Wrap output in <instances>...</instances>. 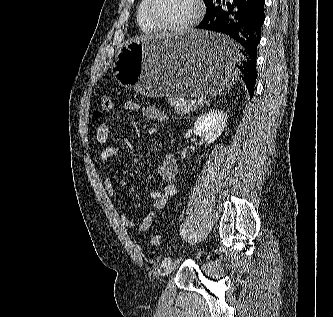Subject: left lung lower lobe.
<instances>
[{"label":"left lung lower lobe","instance_id":"1","mask_svg":"<svg viewBox=\"0 0 333 317\" xmlns=\"http://www.w3.org/2000/svg\"><path fill=\"white\" fill-rule=\"evenodd\" d=\"M264 0H212L197 29L229 35L240 43L242 54L235 46L223 45L208 49L211 53L238 68L250 97L253 96L257 77V46L261 40V27L265 20ZM222 3L223 6L220 4Z\"/></svg>","mask_w":333,"mask_h":317}]
</instances>
